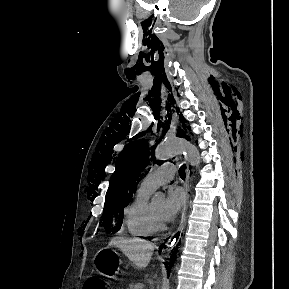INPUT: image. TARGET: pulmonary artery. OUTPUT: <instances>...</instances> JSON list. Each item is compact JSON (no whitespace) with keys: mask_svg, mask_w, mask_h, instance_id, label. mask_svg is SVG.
<instances>
[{"mask_svg":"<svg viewBox=\"0 0 289 289\" xmlns=\"http://www.w3.org/2000/svg\"><path fill=\"white\" fill-rule=\"evenodd\" d=\"M174 173L175 167L171 163H164L157 166L143 178L139 189L151 192L157 187L170 182L173 179Z\"/></svg>","mask_w":289,"mask_h":289,"instance_id":"pulmonary-artery-1","label":"pulmonary artery"}]
</instances>
